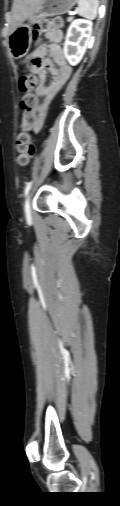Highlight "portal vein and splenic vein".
I'll return each instance as SVG.
<instances>
[{"label":"portal vein and splenic vein","mask_w":120,"mask_h":506,"mask_svg":"<svg viewBox=\"0 0 120 506\" xmlns=\"http://www.w3.org/2000/svg\"><path fill=\"white\" fill-rule=\"evenodd\" d=\"M69 14H70V15H73V14H75V12H73V11H70V12H69Z\"/></svg>","instance_id":"obj_1"}]
</instances>
